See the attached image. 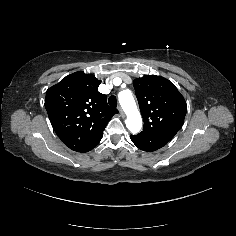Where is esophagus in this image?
Wrapping results in <instances>:
<instances>
[{
  "label": "esophagus",
  "instance_id": "1",
  "mask_svg": "<svg viewBox=\"0 0 236 236\" xmlns=\"http://www.w3.org/2000/svg\"><path fill=\"white\" fill-rule=\"evenodd\" d=\"M119 113L121 117H125V113L121 107H118Z\"/></svg>",
  "mask_w": 236,
  "mask_h": 236
}]
</instances>
